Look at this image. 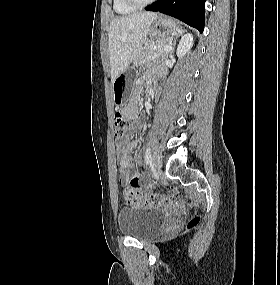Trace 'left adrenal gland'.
Segmentation results:
<instances>
[{"label":"left adrenal gland","mask_w":280,"mask_h":285,"mask_svg":"<svg viewBox=\"0 0 280 285\" xmlns=\"http://www.w3.org/2000/svg\"><path fill=\"white\" fill-rule=\"evenodd\" d=\"M185 30L183 29H178V33L177 35L174 37L173 43H172V49H171V54L173 53L174 49H175V45H176V41L178 39V37H180L181 35H183Z\"/></svg>","instance_id":"obj_1"}]
</instances>
